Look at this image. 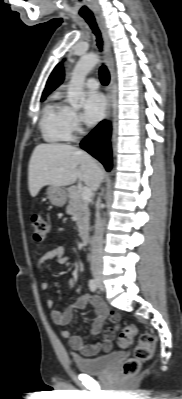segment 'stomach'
Returning <instances> with one entry per match:
<instances>
[{
    "label": "stomach",
    "instance_id": "1",
    "mask_svg": "<svg viewBox=\"0 0 182 399\" xmlns=\"http://www.w3.org/2000/svg\"><path fill=\"white\" fill-rule=\"evenodd\" d=\"M47 197L51 204L57 207H63L67 202V194L65 190L59 186L50 185L46 191Z\"/></svg>",
    "mask_w": 182,
    "mask_h": 399
}]
</instances>
